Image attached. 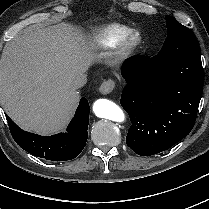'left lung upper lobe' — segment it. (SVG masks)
Instances as JSON below:
<instances>
[{"label": "left lung upper lobe", "mask_w": 209, "mask_h": 209, "mask_svg": "<svg viewBox=\"0 0 209 209\" xmlns=\"http://www.w3.org/2000/svg\"><path fill=\"white\" fill-rule=\"evenodd\" d=\"M167 39L154 60H167L191 50L199 49L192 32L171 16H166Z\"/></svg>", "instance_id": "obj_1"}]
</instances>
